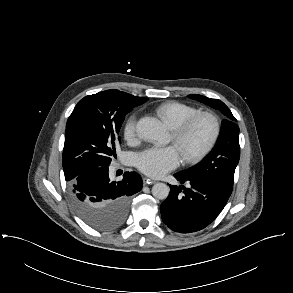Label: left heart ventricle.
<instances>
[{"mask_svg":"<svg viewBox=\"0 0 293 293\" xmlns=\"http://www.w3.org/2000/svg\"><path fill=\"white\" fill-rule=\"evenodd\" d=\"M211 131L210 124L207 121L198 122L187 134L183 147H179L181 151L184 149L197 150L204 145Z\"/></svg>","mask_w":293,"mask_h":293,"instance_id":"left-heart-ventricle-1","label":"left heart ventricle"}]
</instances>
